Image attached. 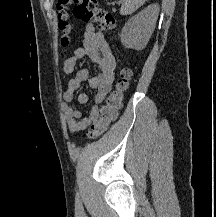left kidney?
<instances>
[{
    "label": "left kidney",
    "mask_w": 216,
    "mask_h": 217,
    "mask_svg": "<svg viewBox=\"0 0 216 217\" xmlns=\"http://www.w3.org/2000/svg\"><path fill=\"white\" fill-rule=\"evenodd\" d=\"M159 7L150 5L131 17L121 31V42L126 48L142 50L146 47L156 25Z\"/></svg>",
    "instance_id": "5707ae66"
}]
</instances>
